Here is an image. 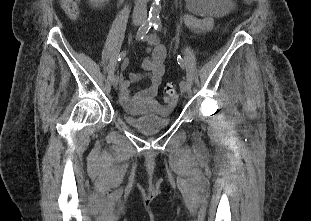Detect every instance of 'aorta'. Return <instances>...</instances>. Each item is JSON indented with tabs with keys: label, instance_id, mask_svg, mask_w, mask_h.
Instances as JSON below:
<instances>
[{
	"label": "aorta",
	"instance_id": "1",
	"mask_svg": "<svg viewBox=\"0 0 311 221\" xmlns=\"http://www.w3.org/2000/svg\"><path fill=\"white\" fill-rule=\"evenodd\" d=\"M161 10V4L154 2L150 8L149 16L151 20H159V12Z\"/></svg>",
	"mask_w": 311,
	"mask_h": 221
}]
</instances>
